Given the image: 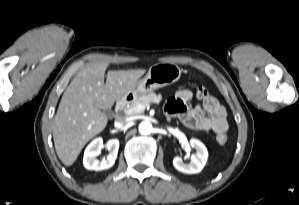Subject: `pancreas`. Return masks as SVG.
<instances>
[{
  "label": "pancreas",
  "instance_id": "obj_1",
  "mask_svg": "<svg viewBox=\"0 0 299 205\" xmlns=\"http://www.w3.org/2000/svg\"><path fill=\"white\" fill-rule=\"evenodd\" d=\"M161 95H156L153 92H150L148 94L142 95L140 97H138L137 99L131 101L125 108L124 111L127 114H136L138 113L136 111V108L138 105H144L147 106L152 102H157L161 100ZM130 112V113H129Z\"/></svg>",
  "mask_w": 299,
  "mask_h": 205
}]
</instances>
